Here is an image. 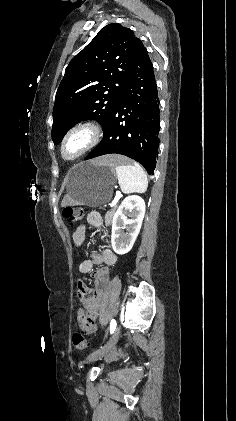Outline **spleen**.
Here are the masks:
<instances>
[{"label": "spleen", "mask_w": 236, "mask_h": 421, "mask_svg": "<svg viewBox=\"0 0 236 421\" xmlns=\"http://www.w3.org/2000/svg\"><path fill=\"white\" fill-rule=\"evenodd\" d=\"M116 172L122 192H145L147 190V174L138 162H133V164L118 162Z\"/></svg>", "instance_id": "1"}]
</instances>
